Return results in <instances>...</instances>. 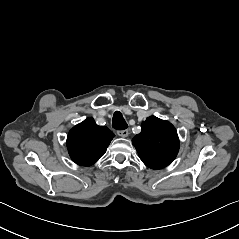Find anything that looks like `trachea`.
Here are the masks:
<instances>
[{"label":"trachea","instance_id":"obj_1","mask_svg":"<svg viewBox=\"0 0 239 239\" xmlns=\"http://www.w3.org/2000/svg\"><path fill=\"white\" fill-rule=\"evenodd\" d=\"M112 127L116 130H125L128 128V124L124 120L122 113L116 111L112 119Z\"/></svg>","mask_w":239,"mask_h":239}]
</instances>
